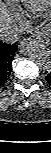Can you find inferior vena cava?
<instances>
[{
	"label": "inferior vena cava",
	"instance_id": "1",
	"mask_svg": "<svg viewBox=\"0 0 51 153\" xmlns=\"http://www.w3.org/2000/svg\"><path fill=\"white\" fill-rule=\"evenodd\" d=\"M23 34V28L18 25H9L0 30L1 40L10 44L17 42Z\"/></svg>",
	"mask_w": 51,
	"mask_h": 153
}]
</instances>
